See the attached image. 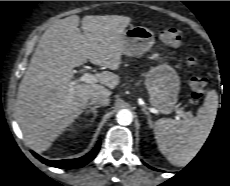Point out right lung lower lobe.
<instances>
[{
    "instance_id": "obj_1",
    "label": "right lung lower lobe",
    "mask_w": 230,
    "mask_h": 186,
    "mask_svg": "<svg viewBox=\"0 0 230 186\" xmlns=\"http://www.w3.org/2000/svg\"><path fill=\"white\" fill-rule=\"evenodd\" d=\"M101 142L99 141L97 146L87 155L77 158V159H70V160H59V161H50L47 159L42 158L38 154L32 151L33 155L38 158L42 163H45L49 166H53L56 168H64V169H73L78 168L86 165L90 162L98 153L100 148Z\"/></svg>"
}]
</instances>
